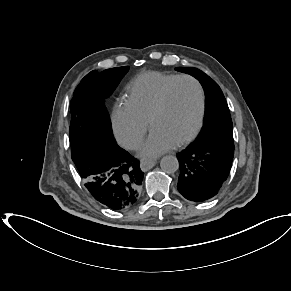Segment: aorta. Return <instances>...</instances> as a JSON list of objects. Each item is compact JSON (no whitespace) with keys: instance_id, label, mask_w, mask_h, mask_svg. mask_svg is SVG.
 Here are the masks:
<instances>
[{"instance_id":"obj_1","label":"aorta","mask_w":291,"mask_h":291,"mask_svg":"<svg viewBox=\"0 0 291 291\" xmlns=\"http://www.w3.org/2000/svg\"><path fill=\"white\" fill-rule=\"evenodd\" d=\"M160 167L165 172H175L179 168V162L176 156L167 155L160 161Z\"/></svg>"}]
</instances>
